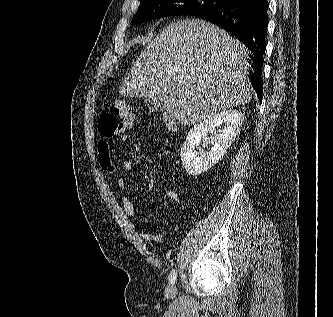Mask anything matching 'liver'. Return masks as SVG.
Instances as JSON below:
<instances>
[{
    "instance_id": "liver-1",
    "label": "liver",
    "mask_w": 333,
    "mask_h": 317,
    "mask_svg": "<svg viewBox=\"0 0 333 317\" xmlns=\"http://www.w3.org/2000/svg\"><path fill=\"white\" fill-rule=\"evenodd\" d=\"M248 49L226 31L199 19L170 23L150 41L124 78L125 97L167 96V114L195 124L251 101Z\"/></svg>"
}]
</instances>
